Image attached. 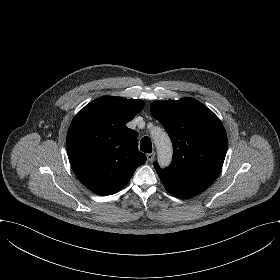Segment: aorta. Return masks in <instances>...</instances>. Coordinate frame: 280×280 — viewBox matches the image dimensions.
I'll use <instances>...</instances> for the list:
<instances>
[{"label":"aorta","instance_id":"obj_1","mask_svg":"<svg viewBox=\"0 0 280 280\" xmlns=\"http://www.w3.org/2000/svg\"><path fill=\"white\" fill-rule=\"evenodd\" d=\"M155 145L158 151V160L162 166L170 163L172 157V145L169 138L162 134L155 138Z\"/></svg>","mask_w":280,"mask_h":280}]
</instances>
